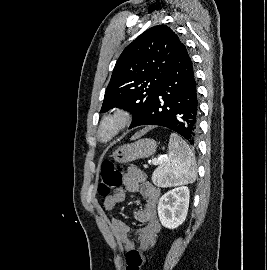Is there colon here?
<instances>
[{"label":"colon","mask_w":267,"mask_h":270,"mask_svg":"<svg viewBox=\"0 0 267 270\" xmlns=\"http://www.w3.org/2000/svg\"><path fill=\"white\" fill-rule=\"evenodd\" d=\"M101 181L98 192L107 197L116 192L122 184L123 172L113 160H105L100 169ZM144 262L143 252L140 248H134L126 253L125 270H141Z\"/></svg>","instance_id":"5ec220e1"}]
</instances>
